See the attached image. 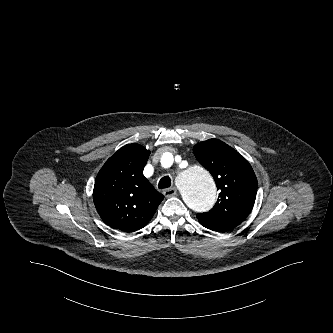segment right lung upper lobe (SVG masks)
<instances>
[{
	"label": "right lung upper lobe",
	"mask_w": 333,
	"mask_h": 333,
	"mask_svg": "<svg viewBox=\"0 0 333 333\" xmlns=\"http://www.w3.org/2000/svg\"><path fill=\"white\" fill-rule=\"evenodd\" d=\"M150 151L129 144L111 156L99 171L93 190L102 220L114 229L133 232L146 226L163 195L143 175Z\"/></svg>",
	"instance_id": "1"
}]
</instances>
